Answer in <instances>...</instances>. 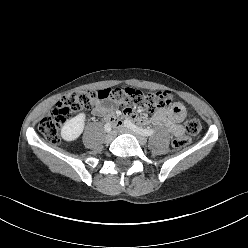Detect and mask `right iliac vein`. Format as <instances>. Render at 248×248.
<instances>
[{"instance_id":"1","label":"right iliac vein","mask_w":248,"mask_h":248,"mask_svg":"<svg viewBox=\"0 0 248 248\" xmlns=\"http://www.w3.org/2000/svg\"><path fill=\"white\" fill-rule=\"evenodd\" d=\"M114 137H115V133L114 132H110V133H108L105 136V139L104 140H105L106 143H110V142L113 141Z\"/></svg>"}]
</instances>
